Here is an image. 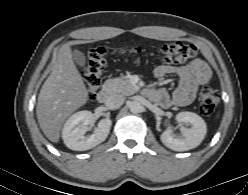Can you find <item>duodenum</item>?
Here are the masks:
<instances>
[{"instance_id":"410a0bca","label":"duodenum","mask_w":248,"mask_h":195,"mask_svg":"<svg viewBox=\"0 0 248 195\" xmlns=\"http://www.w3.org/2000/svg\"><path fill=\"white\" fill-rule=\"evenodd\" d=\"M97 99L100 103L107 104L112 99V89L109 86H103L97 93Z\"/></svg>"}]
</instances>
